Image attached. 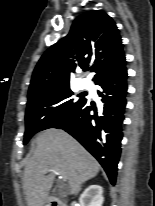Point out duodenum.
Returning <instances> with one entry per match:
<instances>
[{"label":"duodenum","mask_w":155,"mask_h":206,"mask_svg":"<svg viewBox=\"0 0 155 206\" xmlns=\"http://www.w3.org/2000/svg\"><path fill=\"white\" fill-rule=\"evenodd\" d=\"M47 206H67L64 202L60 201L56 198H49L47 202Z\"/></svg>","instance_id":"duodenum-1"}]
</instances>
